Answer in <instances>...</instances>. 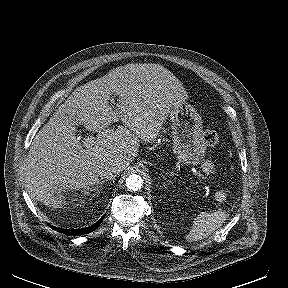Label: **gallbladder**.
<instances>
[{"mask_svg":"<svg viewBox=\"0 0 288 288\" xmlns=\"http://www.w3.org/2000/svg\"><path fill=\"white\" fill-rule=\"evenodd\" d=\"M69 117H70V119L72 120V122H73L75 125H77V124L80 123V118H79V117H77V116H75V115H70Z\"/></svg>","mask_w":288,"mask_h":288,"instance_id":"gallbladder-1","label":"gallbladder"}]
</instances>
